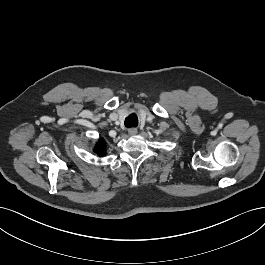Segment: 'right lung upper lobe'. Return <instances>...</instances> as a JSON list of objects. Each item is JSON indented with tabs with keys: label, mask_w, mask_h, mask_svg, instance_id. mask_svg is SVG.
<instances>
[{
	"label": "right lung upper lobe",
	"mask_w": 265,
	"mask_h": 265,
	"mask_svg": "<svg viewBox=\"0 0 265 265\" xmlns=\"http://www.w3.org/2000/svg\"><path fill=\"white\" fill-rule=\"evenodd\" d=\"M95 152L98 154V155H104L106 150H105V143H104V140H100L96 146H95Z\"/></svg>",
	"instance_id": "obj_1"
}]
</instances>
